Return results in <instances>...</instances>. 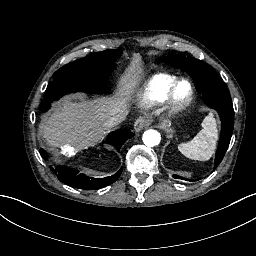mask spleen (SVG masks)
Here are the masks:
<instances>
[{
    "label": "spleen",
    "mask_w": 256,
    "mask_h": 256,
    "mask_svg": "<svg viewBox=\"0 0 256 256\" xmlns=\"http://www.w3.org/2000/svg\"><path fill=\"white\" fill-rule=\"evenodd\" d=\"M202 130L187 143L178 145V150L187 158L207 161L215 153L218 141V129L213 112H210L201 123Z\"/></svg>",
    "instance_id": "obj_1"
}]
</instances>
